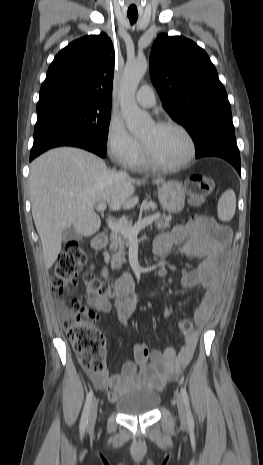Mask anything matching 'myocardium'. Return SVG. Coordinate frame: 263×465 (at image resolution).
Instances as JSON below:
<instances>
[{
    "label": "myocardium",
    "mask_w": 263,
    "mask_h": 465,
    "mask_svg": "<svg viewBox=\"0 0 263 465\" xmlns=\"http://www.w3.org/2000/svg\"><path fill=\"white\" fill-rule=\"evenodd\" d=\"M154 125L159 128L171 127V128H175L179 130L188 141L189 151H188L187 156L182 161L175 163V164H164L158 161L153 156L148 146L144 142L141 141L143 156H144V159L147 165H149L150 167L154 169L161 170V171H177V170L187 167L193 161L196 155V142H195L194 137L190 133V131L184 125L180 124L179 122L173 121V120L157 121Z\"/></svg>",
    "instance_id": "f54148a6"
}]
</instances>
